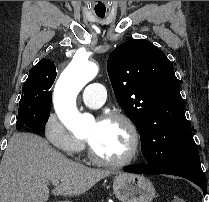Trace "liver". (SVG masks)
<instances>
[{
	"instance_id": "obj_1",
	"label": "liver",
	"mask_w": 209,
	"mask_h": 202,
	"mask_svg": "<svg viewBox=\"0 0 209 202\" xmlns=\"http://www.w3.org/2000/svg\"><path fill=\"white\" fill-rule=\"evenodd\" d=\"M111 174L66 158L38 135L14 133L0 164V202H46L53 180L61 181L54 195H81Z\"/></svg>"
}]
</instances>
